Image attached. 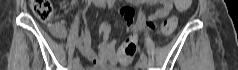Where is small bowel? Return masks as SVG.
Returning a JSON list of instances; mask_svg holds the SVG:
<instances>
[{
	"instance_id": "1",
	"label": "small bowel",
	"mask_w": 238,
	"mask_h": 70,
	"mask_svg": "<svg viewBox=\"0 0 238 70\" xmlns=\"http://www.w3.org/2000/svg\"><path fill=\"white\" fill-rule=\"evenodd\" d=\"M148 5H158L159 8L148 16V19L165 18L169 15L173 5L174 0H144L140 1ZM188 7V6H186ZM178 8V7H177ZM120 13L123 15L127 28L130 32L134 31L137 26L134 24V10L129 7H123L120 9ZM53 34L60 38L65 39L67 37L66 23L63 20L57 21L51 26ZM58 29V32H54ZM111 33V26L108 22H103L100 25V41L98 46V51H94L90 45V35L86 26L82 28L80 36L75 40V44L79 52L92 62L93 66L88 68V70H105L120 61L116 59L117 54V43L116 41H109ZM137 38V35H136Z\"/></svg>"
}]
</instances>
